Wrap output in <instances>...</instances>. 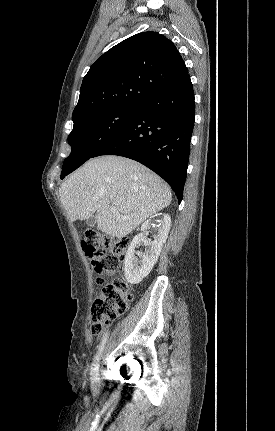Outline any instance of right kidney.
I'll list each match as a JSON object with an SVG mask.
<instances>
[{
    "mask_svg": "<svg viewBox=\"0 0 275 431\" xmlns=\"http://www.w3.org/2000/svg\"><path fill=\"white\" fill-rule=\"evenodd\" d=\"M158 234L154 237V241H148L143 232L152 225L150 220L145 221L141 230L142 233L136 235L125 255L124 260V274L126 280L130 284H138L145 278L152 270L154 264L157 262L161 253L162 247L168 238V233L171 227V218L168 214H162V219L158 221ZM141 242L147 246L146 252L138 260L135 258V248Z\"/></svg>",
    "mask_w": 275,
    "mask_h": 431,
    "instance_id": "ca27d5eb",
    "label": "right kidney"
}]
</instances>
